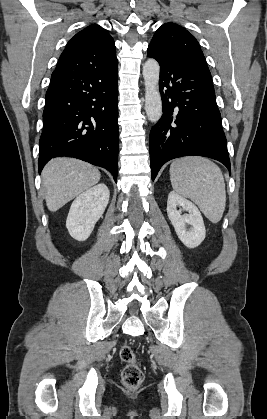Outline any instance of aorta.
Returning a JSON list of instances; mask_svg holds the SVG:
<instances>
[{"label":"aorta","mask_w":267,"mask_h":419,"mask_svg":"<svg viewBox=\"0 0 267 419\" xmlns=\"http://www.w3.org/2000/svg\"><path fill=\"white\" fill-rule=\"evenodd\" d=\"M160 66L155 59H148L143 66L145 85V111L148 119L156 123L162 116V101L159 91Z\"/></svg>","instance_id":"1"}]
</instances>
